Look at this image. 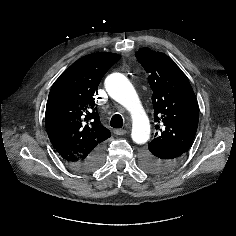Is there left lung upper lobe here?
Returning a JSON list of instances; mask_svg holds the SVG:
<instances>
[{
	"label": "left lung upper lobe",
	"mask_w": 236,
	"mask_h": 236,
	"mask_svg": "<svg viewBox=\"0 0 236 236\" xmlns=\"http://www.w3.org/2000/svg\"><path fill=\"white\" fill-rule=\"evenodd\" d=\"M136 57L149 73L153 91L157 132L144 153L151 161L141 159L143 169L152 172L159 152L189 150L198 127L199 109L188 78L172 59L149 48L139 49Z\"/></svg>",
	"instance_id": "5c2ea615"
}]
</instances>
